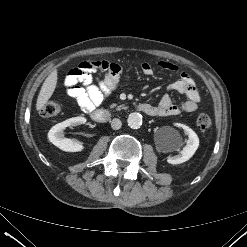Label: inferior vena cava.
I'll return each instance as SVG.
<instances>
[{
  "mask_svg": "<svg viewBox=\"0 0 247 247\" xmlns=\"http://www.w3.org/2000/svg\"><path fill=\"white\" fill-rule=\"evenodd\" d=\"M121 126H122V123H121L120 119L114 118V119L111 121V127H112V129L118 130V129L121 128Z\"/></svg>",
  "mask_w": 247,
  "mask_h": 247,
  "instance_id": "1",
  "label": "inferior vena cava"
}]
</instances>
